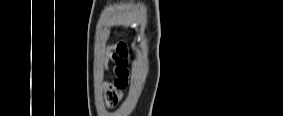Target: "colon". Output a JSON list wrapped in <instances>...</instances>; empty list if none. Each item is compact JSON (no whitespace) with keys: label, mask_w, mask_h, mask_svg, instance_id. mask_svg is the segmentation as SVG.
Segmentation results:
<instances>
[{"label":"colon","mask_w":283,"mask_h":116,"mask_svg":"<svg viewBox=\"0 0 283 116\" xmlns=\"http://www.w3.org/2000/svg\"><path fill=\"white\" fill-rule=\"evenodd\" d=\"M128 84V75L127 76H118L117 79L114 81L113 86L108 91V104L110 106L117 105L121 98L122 93L121 90L124 89Z\"/></svg>","instance_id":"1"}]
</instances>
